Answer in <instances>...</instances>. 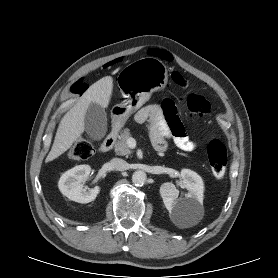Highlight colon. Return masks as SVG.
<instances>
[{
  "label": "colon",
  "mask_w": 278,
  "mask_h": 278,
  "mask_svg": "<svg viewBox=\"0 0 278 278\" xmlns=\"http://www.w3.org/2000/svg\"><path fill=\"white\" fill-rule=\"evenodd\" d=\"M172 79L175 84L180 87H188V81L179 73L174 72ZM87 84L83 80L76 81L72 87L71 92L75 94H82L86 91ZM186 103L189 111L195 116H203L210 112L211 105L204 97L197 94H189L186 98ZM94 152L93 144L86 139L77 141L69 152V156L75 160L88 159ZM207 156L213 175L217 179L223 178L227 166V151L224 143L219 139L211 140L207 145Z\"/></svg>",
  "instance_id": "colon-1"
}]
</instances>
